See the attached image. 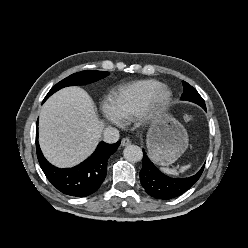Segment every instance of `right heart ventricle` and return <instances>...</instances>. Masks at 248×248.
I'll return each instance as SVG.
<instances>
[{
  "instance_id": "e07e8e85",
  "label": "right heart ventricle",
  "mask_w": 248,
  "mask_h": 248,
  "mask_svg": "<svg viewBox=\"0 0 248 248\" xmlns=\"http://www.w3.org/2000/svg\"><path fill=\"white\" fill-rule=\"evenodd\" d=\"M162 84L153 79L139 80L116 89L111 105L120 123H129L138 118L148 106L153 94Z\"/></svg>"
}]
</instances>
